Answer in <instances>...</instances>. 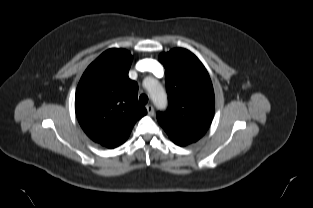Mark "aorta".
<instances>
[{
  "mask_svg": "<svg viewBox=\"0 0 313 208\" xmlns=\"http://www.w3.org/2000/svg\"><path fill=\"white\" fill-rule=\"evenodd\" d=\"M150 94L154 104L158 108H165L167 106V95L164 89L156 82L152 81V86L150 87Z\"/></svg>",
  "mask_w": 313,
  "mask_h": 208,
  "instance_id": "1",
  "label": "aorta"
}]
</instances>
